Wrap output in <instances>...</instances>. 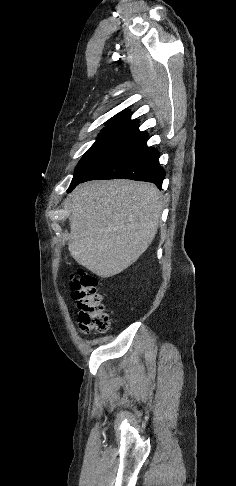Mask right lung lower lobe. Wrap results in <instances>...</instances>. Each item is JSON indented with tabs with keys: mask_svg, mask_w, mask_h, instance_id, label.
Wrapping results in <instances>:
<instances>
[{
	"mask_svg": "<svg viewBox=\"0 0 236 486\" xmlns=\"http://www.w3.org/2000/svg\"><path fill=\"white\" fill-rule=\"evenodd\" d=\"M146 141L147 133L139 131L133 139L93 169L80 183L95 179L125 178L152 182L161 188L165 171L159 165V152L148 147Z\"/></svg>",
	"mask_w": 236,
	"mask_h": 486,
	"instance_id": "1",
	"label": "right lung lower lobe"
}]
</instances>
